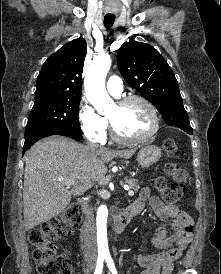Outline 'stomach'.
I'll return each instance as SVG.
<instances>
[{
  "mask_svg": "<svg viewBox=\"0 0 221 274\" xmlns=\"http://www.w3.org/2000/svg\"><path fill=\"white\" fill-rule=\"evenodd\" d=\"M161 149L155 145H146L138 152L137 161L143 168L149 167L159 161Z\"/></svg>",
  "mask_w": 221,
  "mask_h": 274,
  "instance_id": "stomach-1",
  "label": "stomach"
}]
</instances>
